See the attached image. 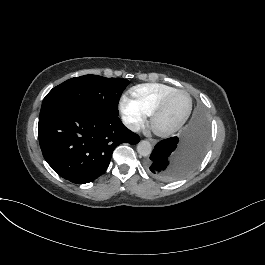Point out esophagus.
Wrapping results in <instances>:
<instances>
[{
    "instance_id": "obj_1",
    "label": "esophagus",
    "mask_w": 265,
    "mask_h": 265,
    "mask_svg": "<svg viewBox=\"0 0 265 265\" xmlns=\"http://www.w3.org/2000/svg\"><path fill=\"white\" fill-rule=\"evenodd\" d=\"M150 142H151L153 145L156 144V140H154V139H150Z\"/></svg>"
}]
</instances>
